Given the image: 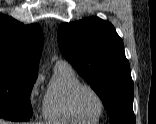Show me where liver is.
I'll list each match as a JSON object with an SVG mask.
<instances>
[{"label":"liver","mask_w":156,"mask_h":124,"mask_svg":"<svg viewBox=\"0 0 156 124\" xmlns=\"http://www.w3.org/2000/svg\"><path fill=\"white\" fill-rule=\"evenodd\" d=\"M0 124H8V123L4 120H0Z\"/></svg>","instance_id":"obj_1"}]
</instances>
